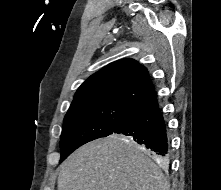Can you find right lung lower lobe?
<instances>
[{"label":"right lung lower lobe","mask_w":221,"mask_h":190,"mask_svg":"<svg viewBox=\"0 0 221 190\" xmlns=\"http://www.w3.org/2000/svg\"><path fill=\"white\" fill-rule=\"evenodd\" d=\"M113 133L131 136L158 157L169 155L168 127L157 96L137 107Z\"/></svg>","instance_id":"98d812e1"}]
</instances>
